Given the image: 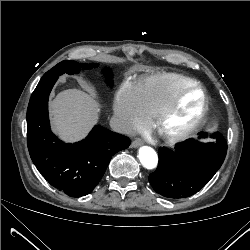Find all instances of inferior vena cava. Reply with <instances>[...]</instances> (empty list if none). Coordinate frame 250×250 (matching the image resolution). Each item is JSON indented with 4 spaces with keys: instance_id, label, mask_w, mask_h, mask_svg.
Returning a JSON list of instances; mask_svg holds the SVG:
<instances>
[{
    "instance_id": "602c4592",
    "label": "inferior vena cava",
    "mask_w": 250,
    "mask_h": 250,
    "mask_svg": "<svg viewBox=\"0 0 250 250\" xmlns=\"http://www.w3.org/2000/svg\"><path fill=\"white\" fill-rule=\"evenodd\" d=\"M110 127L112 128L113 131L117 133L127 134V135L133 134L132 127L128 123V121L118 116H113L110 119Z\"/></svg>"
}]
</instances>
